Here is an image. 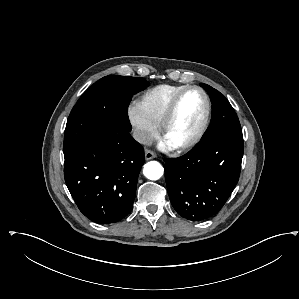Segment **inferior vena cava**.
<instances>
[{
    "label": "inferior vena cava",
    "mask_w": 299,
    "mask_h": 299,
    "mask_svg": "<svg viewBox=\"0 0 299 299\" xmlns=\"http://www.w3.org/2000/svg\"><path fill=\"white\" fill-rule=\"evenodd\" d=\"M133 138L140 144L150 145L152 144V137L149 133L142 130H134Z\"/></svg>",
    "instance_id": "1"
}]
</instances>
